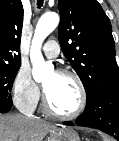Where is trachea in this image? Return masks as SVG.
Instances as JSON below:
<instances>
[{
  "instance_id": "3493384b",
  "label": "trachea",
  "mask_w": 119,
  "mask_h": 141,
  "mask_svg": "<svg viewBox=\"0 0 119 141\" xmlns=\"http://www.w3.org/2000/svg\"><path fill=\"white\" fill-rule=\"evenodd\" d=\"M42 4H43V0H38V2H37L38 7H41Z\"/></svg>"
}]
</instances>
